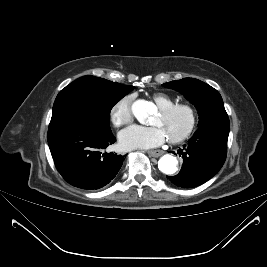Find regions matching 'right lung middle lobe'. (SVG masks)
Listing matches in <instances>:
<instances>
[{
    "label": "right lung middle lobe",
    "instance_id": "obj_1",
    "mask_svg": "<svg viewBox=\"0 0 267 267\" xmlns=\"http://www.w3.org/2000/svg\"><path fill=\"white\" fill-rule=\"evenodd\" d=\"M133 89V86L91 75L81 77L57 95L49 130L76 123L111 131L112 107Z\"/></svg>",
    "mask_w": 267,
    "mask_h": 267
}]
</instances>
